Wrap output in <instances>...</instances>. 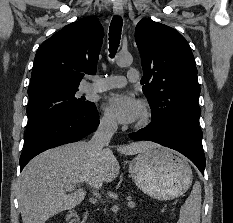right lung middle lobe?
<instances>
[{"mask_svg": "<svg viewBox=\"0 0 233 223\" xmlns=\"http://www.w3.org/2000/svg\"><path fill=\"white\" fill-rule=\"evenodd\" d=\"M77 91L78 87H56L29 94L27 132L94 104L77 97Z\"/></svg>", "mask_w": 233, "mask_h": 223, "instance_id": "obj_1", "label": "right lung middle lobe"}]
</instances>
